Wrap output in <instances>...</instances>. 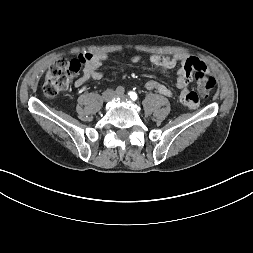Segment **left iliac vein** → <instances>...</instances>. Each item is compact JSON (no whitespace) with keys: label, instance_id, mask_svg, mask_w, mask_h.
<instances>
[{"label":"left iliac vein","instance_id":"obj_1","mask_svg":"<svg viewBox=\"0 0 253 253\" xmlns=\"http://www.w3.org/2000/svg\"><path fill=\"white\" fill-rule=\"evenodd\" d=\"M117 97L121 98V99H126V95L125 94H117Z\"/></svg>","mask_w":253,"mask_h":253}]
</instances>
